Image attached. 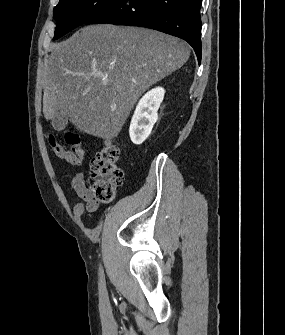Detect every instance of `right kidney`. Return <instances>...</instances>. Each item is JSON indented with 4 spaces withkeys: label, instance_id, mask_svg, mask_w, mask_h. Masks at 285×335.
<instances>
[{
    "label": "right kidney",
    "instance_id": "1",
    "mask_svg": "<svg viewBox=\"0 0 285 335\" xmlns=\"http://www.w3.org/2000/svg\"><path fill=\"white\" fill-rule=\"evenodd\" d=\"M164 94V88H154L139 100L129 128V136L133 144L139 146L151 134L158 120L157 112L163 102Z\"/></svg>",
    "mask_w": 285,
    "mask_h": 335
}]
</instances>
